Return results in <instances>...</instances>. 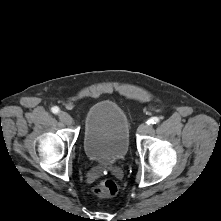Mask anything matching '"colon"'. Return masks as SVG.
<instances>
[{"label": "colon", "mask_w": 221, "mask_h": 221, "mask_svg": "<svg viewBox=\"0 0 221 221\" xmlns=\"http://www.w3.org/2000/svg\"><path fill=\"white\" fill-rule=\"evenodd\" d=\"M92 191L93 194L98 197H112L117 194L118 185L115 181L111 179H106L99 182Z\"/></svg>", "instance_id": "obj_1"}]
</instances>
